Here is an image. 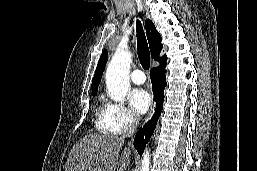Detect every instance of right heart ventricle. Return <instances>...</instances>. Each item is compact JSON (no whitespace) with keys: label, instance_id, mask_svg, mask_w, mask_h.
Returning <instances> with one entry per match:
<instances>
[{"label":"right heart ventricle","instance_id":"obj_1","mask_svg":"<svg viewBox=\"0 0 257 171\" xmlns=\"http://www.w3.org/2000/svg\"><path fill=\"white\" fill-rule=\"evenodd\" d=\"M95 127L96 129L105 134L119 133L111 124L107 114L106 105L100 104L95 114Z\"/></svg>","mask_w":257,"mask_h":171}]
</instances>
